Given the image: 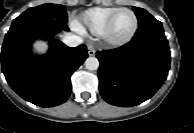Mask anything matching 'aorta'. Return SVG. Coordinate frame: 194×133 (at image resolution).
<instances>
[{
	"label": "aorta",
	"mask_w": 194,
	"mask_h": 133,
	"mask_svg": "<svg viewBox=\"0 0 194 133\" xmlns=\"http://www.w3.org/2000/svg\"><path fill=\"white\" fill-rule=\"evenodd\" d=\"M85 67L88 70H97L99 68V60L96 57H88L85 60Z\"/></svg>",
	"instance_id": "obj_1"
}]
</instances>
